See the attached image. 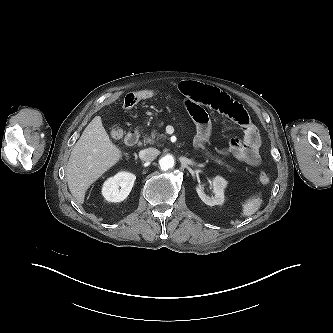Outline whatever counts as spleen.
<instances>
[{
    "label": "spleen",
    "mask_w": 333,
    "mask_h": 333,
    "mask_svg": "<svg viewBox=\"0 0 333 333\" xmlns=\"http://www.w3.org/2000/svg\"><path fill=\"white\" fill-rule=\"evenodd\" d=\"M261 205L260 198H252L243 204V216H251L258 211Z\"/></svg>",
    "instance_id": "3e777b00"
}]
</instances>
